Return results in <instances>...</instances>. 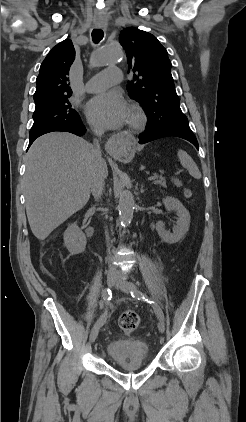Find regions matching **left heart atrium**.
I'll return each mask as SVG.
<instances>
[{
	"mask_svg": "<svg viewBox=\"0 0 246 422\" xmlns=\"http://www.w3.org/2000/svg\"><path fill=\"white\" fill-rule=\"evenodd\" d=\"M86 113L91 123L104 129L121 127L130 115L124 98L114 91L93 97L87 104Z\"/></svg>",
	"mask_w": 246,
	"mask_h": 422,
	"instance_id": "obj_1",
	"label": "left heart atrium"
}]
</instances>
